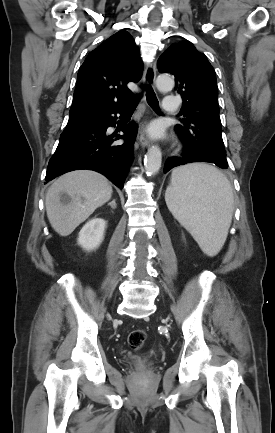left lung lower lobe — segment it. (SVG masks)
I'll list each match as a JSON object with an SVG mask.
<instances>
[{
    "label": "left lung lower lobe",
    "instance_id": "0a47b994",
    "mask_svg": "<svg viewBox=\"0 0 275 433\" xmlns=\"http://www.w3.org/2000/svg\"><path fill=\"white\" fill-rule=\"evenodd\" d=\"M192 162H195V161L187 155H185L183 159L177 158V157L169 158L165 164L164 172L167 173L170 169H172L176 166L184 165V164L192 163Z\"/></svg>",
    "mask_w": 275,
    "mask_h": 433
}]
</instances>
